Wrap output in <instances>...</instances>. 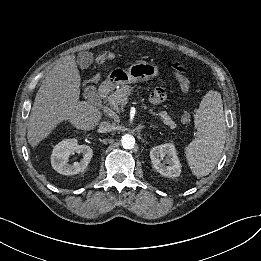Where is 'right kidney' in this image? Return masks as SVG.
I'll use <instances>...</instances> for the list:
<instances>
[{
  "label": "right kidney",
  "mask_w": 261,
  "mask_h": 261,
  "mask_svg": "<svg viewBox=\"0 0 261 261\" xmlns=\"http://www.w3.org/2000/svg\"><path fill=\"white\" fill-rule=\"evenodd\" d=\"M81 153L80 162L68 164L69 156ZM93 156L92 149L87 145H78L77 139H66L54 146L51 154V164L55 171L63 175H74L83 172Z\"/></svg>",
  "instance_id": "obj_1"
}]
</instances>
